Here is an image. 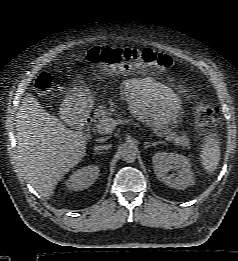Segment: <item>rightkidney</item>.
Segmentation results:
<instances>
[{"label": "right kidney", "mask_w": 238, "mask_h": 261, "mask_svg": "<svg viewBox=\"0 0 238 261\" xmlns=\"http://www.w3.org/2000/svg\"><path fill=\"white\" fill-rule=\"evenodd\" d=\"M99 176V168L94 165L86 166L73 172L66 181L68 189L79 191L91 186Z\"/></svg>", "instance_id": "right-kidney-1"}]
</instances>
